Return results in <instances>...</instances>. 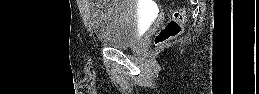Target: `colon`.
<instances>
[{"label": "colon", "mask_w": 259, "mask_h": 94, "mask_svg": "<svg viewBox=\"0 0 259 94\" xmlns=\"http://www.w3.org/2000/svg\"><path fill=\"white\" fill-rule=\"evenodd\" d=\"M185 21V13L183 10L173 12L171 19L165 24L155 38L156 45H162L169 40L177 37L181 31Z\"/></svg>", "instance_id": "5ec220e1"}]
</instances>
